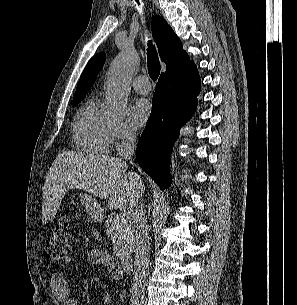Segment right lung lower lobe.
<instances>
[{
  "label": "right lung lower lobe",
  "instance_id": "obj_1",
  "mask_svg": "<svg viewBox=\"0 0 297 305\" xmlns=\"http://www.w3.org/2000/svg\"><path fill=\"white\" fill-rule=\"evenodd\" d=\"M200 92L194 63L175 75H161L152 99V111L138 142L136 157L142 169L159 185L168 188L173 144L180 128L190 119Z\"/></svg>",
  "mask_w": 297,
  "mask_h": 305
}]
</instances>
